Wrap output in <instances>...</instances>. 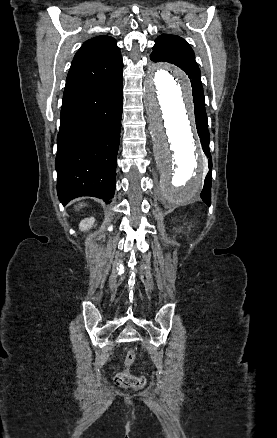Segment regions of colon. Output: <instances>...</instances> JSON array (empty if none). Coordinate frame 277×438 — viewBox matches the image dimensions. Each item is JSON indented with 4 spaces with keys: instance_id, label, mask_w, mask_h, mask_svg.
<instances>
[{
    "instance_id": "colon-1",
    "label": "colon",
    "mask_w": 277,
    "mask_h": 438,
    "mask_svg": "<svg viewBox=\"0 0 277 438\" xmlns=\"http://www.w3.org/2000/svg\"><path fill=\"white\" fill-rule=\"evenodd\" d=\"M135 357L134 351L130 350L128 352L127 359L132 361ZM115 382L125 388H141L153 389L155 387V382L153 380H145L143 377L133 376L128 372H120L115 376Z\"/></svg>"
}]
</instances>
